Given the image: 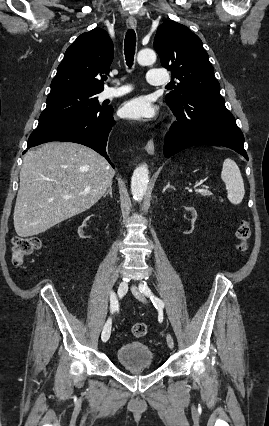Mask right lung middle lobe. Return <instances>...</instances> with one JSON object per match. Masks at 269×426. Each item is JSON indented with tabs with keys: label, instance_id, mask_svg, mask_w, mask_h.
<instances>
[{
	"label": "right lung middle lobe",
	"instance_id": "1",
	"mask_svg": "<svg viewBox=\"0 0 269 426\" xmlns=\"http://www.w3.org/2000/svg\"><path fill=\"white\" fill-rule=\"evenodd\" d=\"M98 93L76 89L50 92L38 127L100 110Z\"/></svg>",
	"mask_w": 269,
	"mask_h": 426
}]
</instances>
